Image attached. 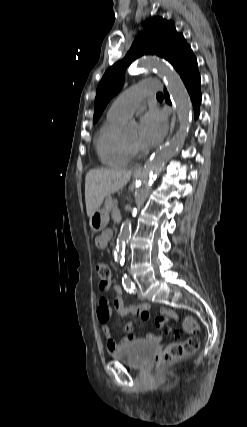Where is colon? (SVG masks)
Instances as JSON below:
<instances>
[{"label":"colon","instance_id":"obj_1","mask_svg":"<svg viewBox=\"0 0 247 427\" xmlns=\"http://www.w3.org/2000/svg\"><path fill=\"white\" fill-rule=\"evenodd\" d=\"M96 271L100 280V288L108 290L112 284L113 277L109 266L104 262H99L96 265ZM183 329L190 335H195L198 331V325L192 317H186L183 323ZM199 347V340L197 338H189L184 342L172 343L166 347L162 353L159 362L160 364H168L172 361L184 358Z\"/></svg>","mask_w":247,"mask_h":427}]
</instances>
